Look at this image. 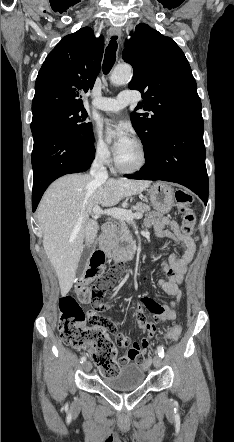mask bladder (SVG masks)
I'll return each instance as SVG.
<instances>
[{
    "label": "bladder",
    "mask_w": 234,
    "mask_h": 442,
    "mask_svg": "<svg viewBox=\"0 0 234 442\" xmlns=\"http://www.w3.org/2000/svg\"><path fill=\"white\" fill-rule=\"evenodd\" d=\"M145 380V370L136 364L122 366L117 374L104 377L103 383L113 390H130L141 386Z\"/></svg>",
    "instance_id": "bladder-1"
}]
</instances>
